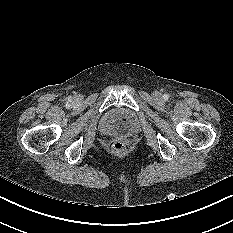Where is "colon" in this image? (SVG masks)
<instances>
[{
    "instance_id": "5ec220e1",
    "label": "colon",
    "mask_w": 233,
    "mask_h": 233,
    "mask_svg": "<svg viewBox=\"0 0 233 233\" xmlns=\"http://www.w3.org/2000/svg\"><path fill=\"white\" fill-rule=\"evenodd\" d=\"M112 151L116 154H122L125 151V145L122 142L117 141L113 143Z\"/></svg>"
}]
</instances>
